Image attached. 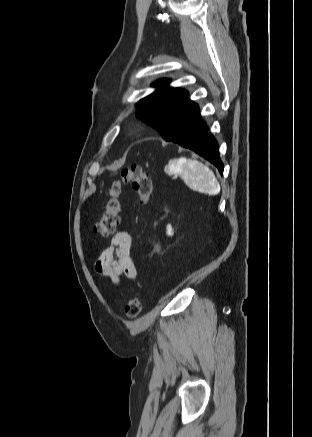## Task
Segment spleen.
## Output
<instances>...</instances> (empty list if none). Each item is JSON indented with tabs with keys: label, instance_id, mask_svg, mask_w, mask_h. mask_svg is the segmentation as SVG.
I'll return each instance as SVG.
<instances>
[{
	"label": "spleen",
	"instance_id": "3e777b00",
	"mask_svg": "<svg viewBox=\"0 0 312 437\" xmlns=\"http://www.w3.org/2000/svg\"><path fill=\"white\" fill-rule=\"evenodd\" d=\"M166 170L181 174L194 189L200 192L215 195L220 191V185L214 173L197 160L173 159L169 161Z\"/></svg>",
	"mask_w": 312,
	"mask_h": 437
}]
</instances>
